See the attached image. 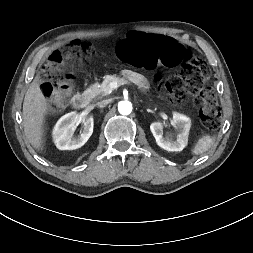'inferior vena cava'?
Listing matches in <instances>:
<instances>
[{"label":"inferior vena cava","mask_w":253,"mask_h":253,"mask_svg":"<svg viewBox=\"0 0 253 253\" xmlns=\"http://www.w3.org/2000/svg\"><path fill=\"white\" fill-rule=\"evenodd\" d=\"M108 103H109V100H102V101H99L98 103H97V105H98V107H100V108H103V107H105L106 105H108Z\"/></svg>","instance_id":"602c4592"}]
</instances>
